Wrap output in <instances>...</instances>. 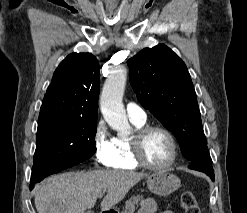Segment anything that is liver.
<instances>
[{"label":"liver","instance_id":"obj_1","mask_svg":"<svg viewBox=\"0 0 247 213\" xmlns=\"http://www.w3.org/2000/svg\"><path fill=\"white\" fill-rule=\"evenodd\" d=\"M147 174L121 170L67 172L52 176L35 189L38 213H85L94 207L100 193L102 210L120 202L128 191Z\"/></svg>","mask_w":247,"mask_h":213}]
</instances>
